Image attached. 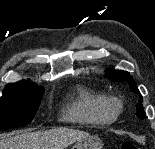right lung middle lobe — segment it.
Masks as SVG:
<instances>
[{"mask_svg": "<svg viewBox=\"0 0 155 149\" xmlns=\"http://www.w3.org/2000/svg\"><path fill=\"white\" fill-rule=\"evenodd\" d=\"M43 93L44 88L33 82L8 84L0 97V131L29 124Z\"/></svg>", "mask_w": 155, "mask_h": 149, "instance_id": "dd1d6c3e", "label": "right lung middle lobe"}]
</instances>
